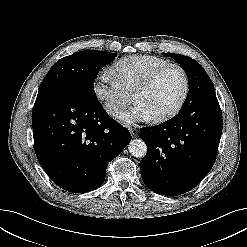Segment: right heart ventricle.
I'll use <instances>...</instances> for the list:
<instances>
[{
    "instance_id": "obj_1",
    "label": "right heart ventricle",
    "mask_w": 247,
    "mask_h": 247,
    "mask_svg": "<svg viewBox=\"0 0 247 247\" xmlns=\"http://www.w3.org/2000/svg\"><path fill=\"white\" fill-rule=\"evenodd\" d=\"M169 62L150 55H134L118 60L110 69L124 90L132 94L136 86L152 71Z\"/></svg>"
}]
</instances>
